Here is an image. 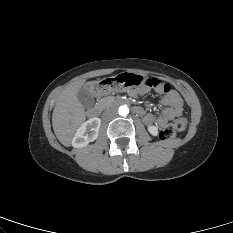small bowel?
Returning a JSON list of instances; mask_svg holds the SVG:
<instances>
[{
    "instance_id": "small-bowel-1",
    "label": "small bowel",
    "mask_w": 233,
    "mask_h": 233,
    "mask_svg": "<svg viewBox=\"0 0 233 233\" xmlns=\"http://www.w3.org/2000/svg\"><path fill=\"white\" fill-rule=\"evenodd\" d=\"M149 87L145 86L138 90H134L131 95L136 97L146 93ZM156 93L162 94L161 103L165 106L159 116H154L151 113L144 114L143 110L139 108L140 115L143 116L144 122L149 126L163 127L173 118L180 116L183 111V102L179 94L171 88L167 92L160 89H154Z\"/></svg>"
}]
</instances>
